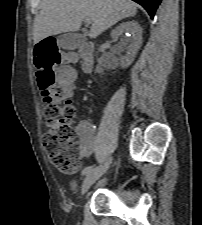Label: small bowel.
Segmentation results:
<instances>
[{"instance_id":"small-bowel-1","label":"small bowel","mask_w":202,"mask_h":225,"mask_svg":"<svg viewBox=\"0 0 202 225\" xmlns=\"http://www.w3.org/2000/svg\"><path fill=\"white\" fill-rule=\"evenodd\" d=\"M59 72L61 74L72 73L71 67H62ZM69 89H74L75 84L72 78L64 79ZM76 130L79 136V149L81 160L88 159L98 144V139L94 134V126H92L87 120H81L76 125Z\"/></svg>"}]
</instances>
